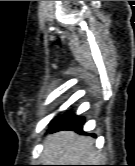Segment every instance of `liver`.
Here are the masks:
<instances>
[{
	"label": "liver",
	"mask_w": 135,
	"mask_h": 166,
	"mask_svg": "<svg viewBox=\"0 0 135 166\" xmlns=\"http://www.w3.org/2000/svg\"><path fill=\"white\" fill-rule=\"evenodd\" d=\"M101 160L92 137L61 131L48 135L44 141L42 162L47 165H96Z\"/></svg>",
	"instance_id": "obj_1"
}]
</instances>
